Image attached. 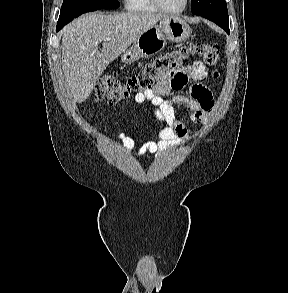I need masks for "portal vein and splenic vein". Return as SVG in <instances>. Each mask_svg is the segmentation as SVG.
<instances>
[{
    "label": "portal vein and splenic vein",
    "instance_id": "obj_1",
    "mask_svg": "<svg viewBox=\"0 0 288 293\" xmlns=\"http://www.w3.org/2000/svg\"><path fill=\"white\" fill-rule=\"evenodd\" d=\"M111 38H105V41H108V40H110Z\"/></svg>",
    "mask_w": 288,
    "mask_h": 293
}]
</instances>
